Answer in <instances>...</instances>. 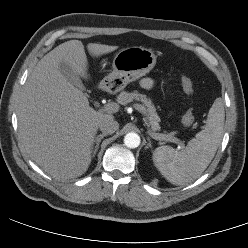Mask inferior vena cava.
<instances>
[{"mask_svg": "<svg viewBox=\"0 0 248 248\" xmlns=\"http://www.w3.org/2000/svg\"><path fill=\"white\" fill-rule=\"evenodd\" d=\"M99 128L104 134H113L119 128V123L115 121L113 118H104L99 123Z\"/></svg>", "mask_w": 248, "mask_h": 248, "instance_id": "1", "label": "inferior vena cava"}]
</instances>
